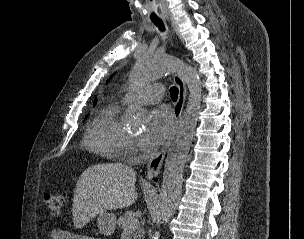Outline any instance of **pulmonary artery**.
<instances>
[{"instance_id": "e3ab8cb5", "label": "pulmonary artery", "mask_w": 304, "mask_h": 239, "mask_svg": "<svg viewBox=\"0 0 304 239\" xmlns=\"http://www.w3.org/2000/svg\"><path fill=\"white\" fill-rule=\"evenodd\" d=\"M164 96V90L161 85H148L145 86L134 94H127L124 96L123 101L125 103L136 102L138 104H155L162 100Z\"/></svg>"}]
</instances>
